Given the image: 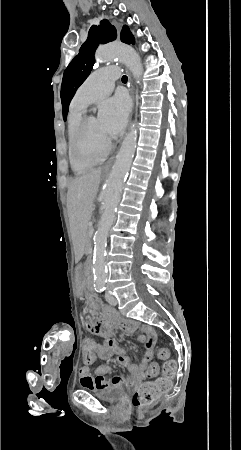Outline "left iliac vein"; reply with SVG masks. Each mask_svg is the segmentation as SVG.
I'll return each mask as SVG.
<instances>
[{
	"instance_id": "1",
	"label": "left iliac vein",
	"mask_w": 241,
	"mask_h": 450,
	"mask_svg": "<svg viewBox=\"0 0 241 450\" xmlns=\"http://www.w3.org/2000/svg\"><path fill=\"white\" fill-rule=\"evenodd\" d=\"M105 298L111 305H117V299L113 297L110 292H106Z\"/></svg>"
}]
</instances>
